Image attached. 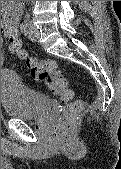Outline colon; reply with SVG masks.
Wrapping results in <instances>:
<instances>
[{
  "mask_svg": "<svg viewBox=\"0 0 121 169\" xmlns=\"http://www.w3.org/2000/svg\"><path fill=\"white\" fill-rule=\"evenodd\" d=\"M4 37L7 44H3V49H9L12 52L18 53L25 59L31 70L32 78L35 81L44 83L54 95L59 96L63 101L68 103L63 116L54 125L52 131L53 138L56 141H67L72 132V122L83 108L82 102L71 101L73 92L54 61L29 57L23 50L22 42L16 31H7Z\"/></svg>",
  "mask_w": 121,
  "mask_h": 169,
  "instance_id": "obj_1",
  "label": "colon"
}]
</instances>
